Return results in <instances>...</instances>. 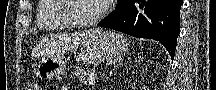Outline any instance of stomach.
<instances>
[{
    "label": "stomach",
    "mask_w": 216,
    "mask_h": 90,
    "mask_svg": "<svg viewBox=\"0 0 216 90\" xmlns=\"http://www.w3.org/2000/svg\"><path fill=\"white\" fill-rule=\"evenodd\" d=\"M127 47V42L121 34L105 31L83 48L81 56L84 60L99 62L120 55L126 51ZM64 73L65 62L61 58L44 59L39 63L37 69V75L44 80L58 78Z\"/></svg>",
    "instance_id": "1"
}]
</instances>
